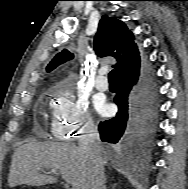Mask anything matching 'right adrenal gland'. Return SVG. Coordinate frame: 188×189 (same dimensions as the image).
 Listing matches in <instances>:
<instances>
[{
	"label": "right adrenal gland",
	"mask_w": 188,
	"mask_h": 189,
	"mask_svg": "<svg viewBox=\"0 0 188 189\" xmlns=\"http://www.w3.org/2000/svg\"><path fill=\"white\" fill-rule=\"evenodd\" d=\"M105 184H106V177H104V179H103V184H102L101 189H107Z\"/></svg>",
	"instance_id": "obj_1"
}]
</instances>
